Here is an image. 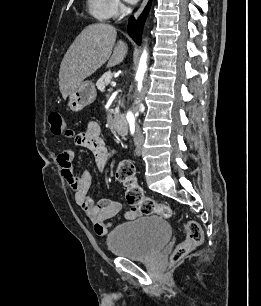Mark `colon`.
I'll list each match as a JSON object with an SVG mask.
<instances>
[{
  "label": "colon",
  "instance_id": "colon-1",
  "mask_svg": "<svg viewBox=\"0 0 261 306\" xmlns=\"http://www.w3.org/2000/svg\"><path fill=\"white\" fill-rule=\"evenodd\" d=\"M51 132L57 136L68 135L65 120L61 113L52 112L49 115ZM115 177L126 188L127 202L138 212L151 215L156 214L164 218L172 215L171 208L166 204L155 202L152 198L145 195L142 187L138 184L135 167L129 160H121L115 169ZM186 237L174 250L171 260L179 261L192 249L199 246L203 240V232L196 221H188L185 226Z\"/></svg>",
  "mask_w": 261,
  "mask_h": 306
}]
</instances>
